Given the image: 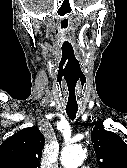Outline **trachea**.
<instances>
[{"label": "trachea", "mask_w": 127, "mask_h": 168, "mask_svg": "<svg viewBox=\"0 0 127 168\" xmlns=\"http://www.w3.org/2000/svg\"><path fill=\"white\" fill-rule=\"evenodd\" d=\"M78 111V106H66V113L69 119L74 120Z\"/></svg>", "instance_id": "trachea-1"}]
</instances>
